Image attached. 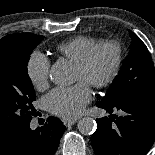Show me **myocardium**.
<instances>
[{
	"label": "myocardium",
	"mask_w": 155,
	"mask_h": 155,
	"mask_svg": "<svg viewBox=\"0 0 155 155\" xmlns=\"http://www.w3.org/2000/svg\"><path fill=\"white\" fill-rule=\"evenodd\" d=\"M104 49H111L113 51L114 61L112 68L107 76L101 80L92 81L90 83V85L95 88L107 87L112 84L118 77L122 66V48L120 44L115 41L101 42L92 48L82 60L76 63L77 68H79L82 72L87 73L91 69L98 54Z\"/></svg>",
	"instance_id": "obj_1"
}]
</instances>
